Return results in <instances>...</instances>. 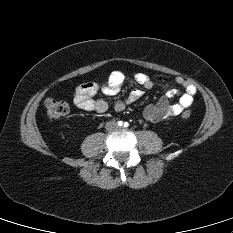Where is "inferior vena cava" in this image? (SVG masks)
Wrapping results in <instances>:
<instances>
[{
	"label": "inferior vena cava",
	"mask_w": 233,
	"mask_h": 233,
	"mask_svg": "<svg viewBox=\"0 0 233 233\" xmlns=\"http://www.w3.org/2000/svg\"><path fill=\"white\" fill-rule=\"evenodd\" d=\"M115 124L114 122H109L106 124V127L109 128L111 125Z\"/></svg>",
	"instance_id": "602c4592"
}]
</instances>
